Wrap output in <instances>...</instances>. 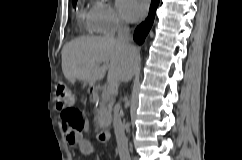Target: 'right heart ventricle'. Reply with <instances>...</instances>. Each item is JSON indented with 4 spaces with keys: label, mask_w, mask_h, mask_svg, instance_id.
I'll use <instances>...</instances> for the list:
<instances>
[{
    "label": "right heart ventricle",
    "mask_w": 242,
    "mask_h": 160,
    "mask_svg": "<svg viewBox=\"0 0 242 160\" xmlns=\"http://www.w3.org/2000/svg\"><path fill=\"white\" fill-rule=\"evenodd\" d=\"M78 23L85 27L89 33H96L91 9H81L77 14Z\"/></svg>",
    "instance_id": "e07e8e85"
}]
</instances>
